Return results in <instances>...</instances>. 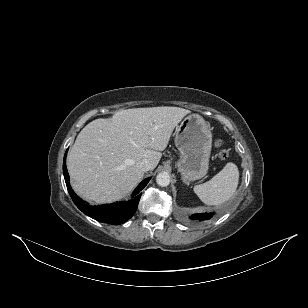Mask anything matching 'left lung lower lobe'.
Instances as JSON below:
<instances>
[{
    "instance_id": "obj_1",
    "label": "left lung lower lobe",
    "mask_w": 308,
    "mask_h": 308,
    "mask_svg": "<svg viewBox=\"0 0 308 308\" xmlns=\"http://www.w3.org/2000/svg\"><path fill=\"white\" fill-rule=\"evenodd\" d=\"M213 216V213H200V214H194L190 218L193 220L203 221L208 220Z\"/></svg>"
}]
</instances>
